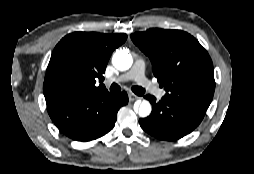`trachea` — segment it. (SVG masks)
Instances as JSON below:
<instances>
[{"mask_svg": "<svg viewBox=\"0 0 254 174\" xmlns=\"http://www.w3.org/2000/svg\"><path fill=\"white\" fill-rule=\"evenodd\" d=\"M120 90H121V87H120L118 84H116V83L111 84V86H110V92H111L112 94L118 93ZM131 90H132L136 95H138V96H142V95L145 93V90H144L143 88L139 87V86H133V87L131 88Z\"/></svg>", "mask_w": 254, "mask_h": 174, "instance_id": "trachea-1", "label": "trachea"}]
</instances>
